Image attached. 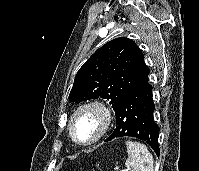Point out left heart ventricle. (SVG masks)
Masks as SVG:
<instances>
[{
    "mask_svg": "<svg viewBox=\"0 0 199 171\" xmlns=\"http://www.w3.org/2000/svg\"><path fill=\"white\" fill-rule=\"evenodd\" d=\"M100 120L92 111L80 113L73 123L74 134L82 142L91 140L98 132Z\"/></svg>",
    "mask_w": 199,
    "mask_h": 171,
    "instance_id": "b2bd125f",
    "label": "left heart ventricle"
}]
</instances>
